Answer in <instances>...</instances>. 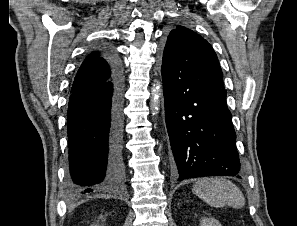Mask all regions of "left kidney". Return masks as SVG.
I'll return each mask as SVG.
<instances>
[{
	"label": "left kidney",
	"instance_id": "5707ae66",
	"mask_svg": "<svg viewBox=\"0 0 297 226\" xmlns=\"http://www.w3.org/2000/svg\"><path fill=\"white\" fill-rule=\"evenodd\" d=\"M200 224H201L200 226H221V224L212 217H209V218L204 217L201 220Z\"/></svg>",
	"mask_w": 297,
	"mask_h": 226
}]
</instances>
